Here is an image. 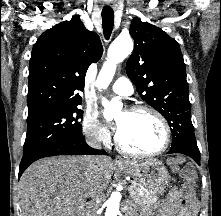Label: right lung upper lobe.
Instances as JSON below:
<instances>
[{"label":"right lung upper lobe","instance_id":"right-lung-upper-lobe-1","mask_svg":"<svg viewBox=\"0 0 221 216\" xmlns=\"http://www.w3.org/2000/svg\"><path fill=\"white\" fill-rule=\"evenodd\" d=\"M102 53L99 36L77 15L45 31L31 53L28 116L81 104L87 69Z\"/></svg>","mask_w":221,"mask_h":216}]
</instances>
